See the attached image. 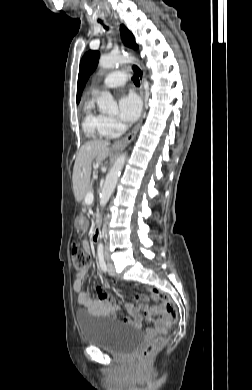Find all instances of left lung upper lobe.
Segmentation results:
<instances>
[{"mask_svg":"<svg viewBox=\"0 0 252 390\" xmlns=\"http://www.w3.org/2000/svg\"><path fill=\"white\" fill-rule=\"evenodd\" d=\"M120 32H121V38L126 46L137 49V44L135 43L134 36L132 33L124 26H120ZM99 57L98 51H88L85 53V55L82 57L80 62V68H79V75H78V85H77V98L76 101L79 103L82 90L85 86V83L93 70L96 68L97 65V59Z\"/></svg>","mask_w":252,"mask_h":390,"instance_id":"left-lung-upper-lobe-1","label":"left lung upper lobe"}]
</instances>
